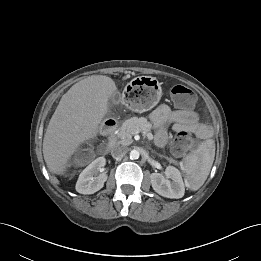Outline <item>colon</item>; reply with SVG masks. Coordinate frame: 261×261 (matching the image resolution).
I'll return each instance as SVG.
<instances>
[{"label": "colon", "instance_id": "colon-1", "mask_svg": "<svg viewBox=\"0 0 261 261\" xmlns=\"http://www.w3.org/2000/svg\"><path fill=\"white\" fill-rule=\"evenodd\" d=\"M171 95L174 102L184 108L193 106L195 101V95L191 89L183 85H176L171 88ZM193 146V140L189 135V132H179L173 140L172 150L176 154H184ZM91 157V153L88 149L84 148L79 150L75 158L77 161H87Z\"/></svg>", "mask_w": 261, "mask_h": 261}]
</instances>
